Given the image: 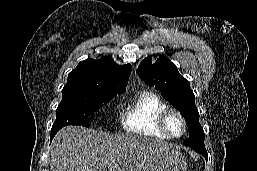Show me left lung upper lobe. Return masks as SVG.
<instances>
[{"label":"left lung upper lobe","mask_w":257,"mask_h":171,"mask_svg":"<svg viewBox=\"0 0 257 171\" xmlns=\"http://www.w3.org/2000/svg\"><path fill=\"white\" fill-rule=\"evenodd\" d=\"M137 74L147 84L160 90L162 96L182 113L190 134L184 144L192 149L204 148V131L199 123L195 95L189 81L179 74L177 67L163 55L152 64L149 56L141 62Z\"/></svg>","instance_id":"1"}]
</instances>
